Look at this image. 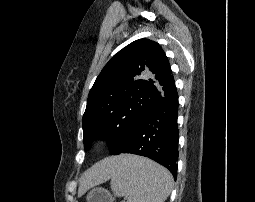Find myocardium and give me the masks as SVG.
Segmentation results:
<instances>
[{
  "label": "myocardium",
  "mask_w": 255,
  "mask_h": 202,
  "mask_svg": "<svg viewBox=\"0 0 255 202\" xmlns=\"http://www.w3.org/2000/svg\"><path fill=\"white\" fill-rule=\"evenodd\" d=\"M104 142V139L103 138H99L98 140H97V143L98 144H101V143H103Z\"/></svg>",
  "instance_id": "f54148a6"
}]
</instances>
